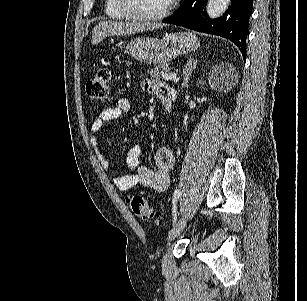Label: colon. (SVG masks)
I'll return each instance as SVG.
<instances>
[{"instance_id":"colon-1","label":"colon","mask_w":307,"mask_h":301,"mask_svg":"<svg viewBox=\"0 0 307 301\" xmlns=\"http://www.w3.org/2000/svg\"><path fill=\"white\" fill-rule=\"evenodd\" d=\"M110 70L100 68L86 83L87 95L96 102H104L108 98ZM132 212L141 219H152L156 216L147 200L139 195L132 194L128 198Z\"/></svg>"}]
</instances>
